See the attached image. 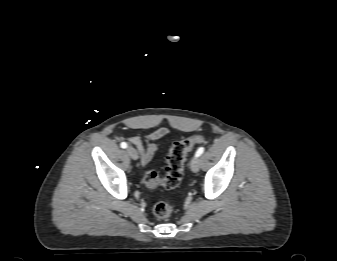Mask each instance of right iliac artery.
<instances>
[{
    "instance_id": "82829eb1",
    "label": "right iliac artery",
    "mask_w": 337,
    "mask_h": 261,
    "mask_svg": "<svg viewBox=\"0 0 337 261\" xmlns=\"http://www.w3.org/2000/svg\"><path fill=\"white\" fill-rule=\"evenodd\" d=\"M120 146H121V148H127V143L126 142H122L121 144H120Z\"/></svg>"
}]
</instances>
